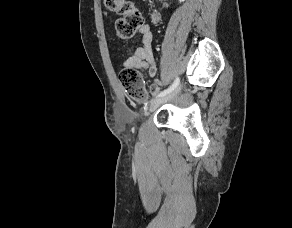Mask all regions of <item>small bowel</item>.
Segmentation results:
<instances>
[{
  "label": "small bowel",
  "instance_id": "c3829d8e",
  "mask_svg": "<svg viewBox=\"0 0 292 228\" xmlns=\"http://www.w3.org/2000/svg\"><path fill=\"white\" fill-rule=\"evenodd\" d=\"M141 36L142 45L135 47L129 54L128 58L123 63V68H135L139 71H148L152 78L157 75V64L153 54L152 42L153 34L149 24H144L138 30ZM160 91V84L154 83L150 87L152 94H157Z\"/></svg>",
  "mask_w": 292,
  "mask_h": 228
}]
</instances>
